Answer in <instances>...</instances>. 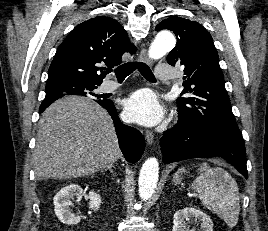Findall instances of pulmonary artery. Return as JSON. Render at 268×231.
I'll return each mask as SVG.
<instances>
[{
	"label": "pulmonary artery",
	"instance_id": "1",
	"mask_svg": "<svg viewBox=\"0 0 268 231\" xmlns=\"http://www.w3.org/2000/svg\"><path fill=\"white\" fill-rule=\"evenodd\" d=\"M173 69L169 64H160L157 66L154 73V77L158 81L169 82L173 78ZM118 84L116 82H109L103 85L102 91L109 93L117 88Z\"/></svg>",
	"mask_w": 268,
	"mask_h": 231
}]
</instances>
